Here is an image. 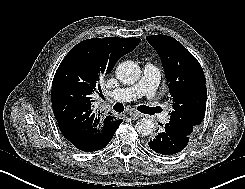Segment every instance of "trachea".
I'll return each instance as SVG.
<instances>
[{
	"label": "trachea",
	"instance_id": "3493384b",
	"mask_svg": "<svg viewBox=\"0 0 245 189\" xmlns=\"http://www.w3.org/2000/svg\"><path fill=\"white\" fill-rule=\"evenodd\" d=\"M141 113H144V114H153L156 112L155 108H151V107H148V106H145V105H141V106H138L137 108ZM113 110L116 111V112H123L124 111V106L122 103H116L114 104L113 106Z\"/></svg>",
	"mask_w": 245,
	"mask_h": 189
}]
</instances>
